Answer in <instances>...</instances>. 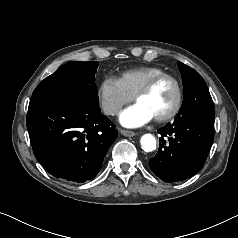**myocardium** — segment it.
<instances>
[{
	"instance_id": "myocardium-1",
	"label": "myocardium",
	"mask_w": 238,
	"mask_h": 238,
	"mask_svg": "<svg viewBox=\"0 0 238 238\" xmlns=\"http://www.w3.org/2000/svg\"><path fill=\"white\" fill-rule=\"evenodd\" d=\"M165 79H168L171 82H173L176 89V101L174 106L168 113L162 116L155 117V120L157 122L170 121L173 118H175L179 113V111L181 110L183 104V87L178 78L168 73L156 75L153 78H151L148 82H146L133 96L134 101H137L139 97L149 93L160 81Z\"/></svg>"
}]
</instances>
